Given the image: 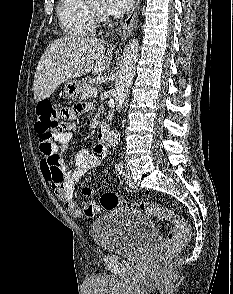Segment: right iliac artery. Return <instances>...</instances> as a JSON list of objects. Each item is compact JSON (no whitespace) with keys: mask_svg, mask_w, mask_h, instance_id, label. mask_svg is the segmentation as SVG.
<instances>
[{"mask_svg":"<svg viewBox=\"0 0 233 294\" xmlns=\"http://www.w3.org/2000/svg\"><path fill=\"white\" fill-rule=\"evenodd\" d=\"M123 168H124V166H123L122 163H118V164H116V166H115V170H116V172H117L118 174H121V173H122Z\"/></svg>","mask_w":233,"mask_h":294,"instance_id":"82829eb1","label":"right iliac artery"}]
</instances>
